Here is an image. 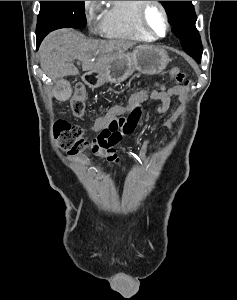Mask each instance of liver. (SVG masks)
Listing matches in <instances>:
<instances>
[{"label": "liver", "instance_id": "6515ba94", "mask_svg": "<svg viewBox=\"0 0 237 300\" xmlns=\"http://www.w3.org/2000/svg\"><path fill=\"white\" fill-rule=\"evenodd\" d=\"M135 43L131 41H93L85 39L73 29H60L45 37L40 45V63L50 77L60 79L67 75H79L73 61L82 63L83 71L102 69L125 53Z\"/></svg>", "mask_w": 237, "mask_h": 300}]
</instances>
